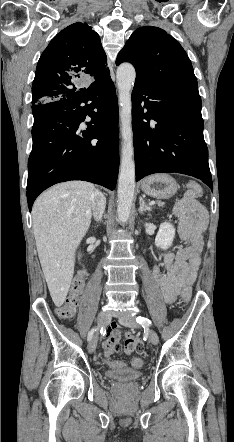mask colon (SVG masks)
Instances as JSON below:
<instances>
[{"instance_id":"obj_1","label":"colon","mask_w":234,"mask_h":442,"mask_svg":"<svg viewBox=\"0 0 234 442\" xmlns=\"http://www.w3.org/2000/svg\"><path fill=\"white\" fill-rule=\"evenodd\" d=\"M187 190L194 195H201L202 193V187L197 182H189L187 184ZM85 280H86V271L81 270L73 281L69 297L67 298L65 303L62 304L60 307H58L56 310V313L60 318L69 319L75 315L76 308L78 305V297L84 288ZM182 298L184 302H189L191 298V288L189 287L184 288L182 293ZM114 355H115L114 350L109 349L105 350L104 353L103 352L97 353L96 358L97 360L111 367L113 372L115 373L124 372L125 370H127V367H125L127 366V363H125V361L121 360L119 357H114ZM133 362H134L133 369L136 371L141 370L143 366V361L141 357L139 356L134 357Z\"/></svg>"}]
</instances>
